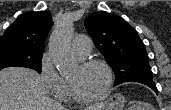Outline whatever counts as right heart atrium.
I'll use <instances>...</instances> for the list:
<instances>
[{
  "label": "right heart atrium",
  "mask_w": 171,
  "mask_h": 110,
  "mask_svg": "<svg viewBox=\"0 0 171 110\" xmlns=\"http://www.w3.org/2000/svg\"><path fill=\"white\" fill-rule=\"evenodd\" d=\"M39 75L49 93L58 98L63 92L64 79L52 64L48 53L43 54L41 57Z\"/></svg>",
  "instance_id": "right-heart-atrium-1"
}]
</instances>
